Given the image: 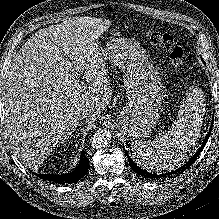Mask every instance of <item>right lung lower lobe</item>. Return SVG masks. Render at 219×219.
Listing matches in <instances>:
<instances>
[{
    "instance_id": "1",
    "label": "right lung lower lobe",
    "mask_w": 219,
    "mask_h": 219,
    "mask_svg": "<svg viewBox=\"0 0 219 219\" xmlns=\"http://www.w3.org/2000/svg\"><path fill=\"white\" fill-rule=\"evenodd\" d=\"M88 169H89V159L82 152L78 167L72 173L65 175H56V174H35V175L43 180H48L53 182L76 183L87 174Z\"/></svg>"
}]
</instances>
